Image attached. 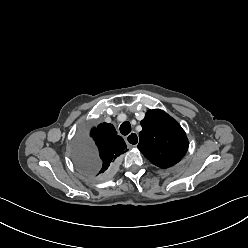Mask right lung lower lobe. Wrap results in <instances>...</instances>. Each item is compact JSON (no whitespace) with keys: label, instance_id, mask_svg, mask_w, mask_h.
<instances>
[{"label":"right lung lower lobe","instance_id":"98d812e1","mask_svg":"<svg viewBox=\"0 0 248 248\" xmlns=\"http://www.w3.org/2000/svg\"><path fill=\"white\" fill-rule=\"evenodd\" d=\"M114 166H115V164L107 171V173L110 172V171H112L113 168H114Z\"/></svg>","mask_w":248,"mask_h":248}]
</instances>
